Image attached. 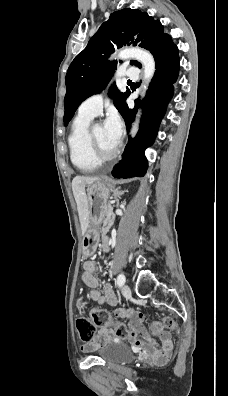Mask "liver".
<instances>
[{
  "label": "liver",
  "mask_w": 228,
  "mask_h": 396,
  "mask_svg": "<svg viewBox=\"0 0 228 396\" xmlns=\"http://www.w3.org/2000/svg\"><path fill=\"white\" fill-rule=\"evenodd\" d=\"M95 177L76 176L72 180L73 195L77 204L82 234L84 235L89 224L88 201L85 186L95 182Z\"/></svg>",
  "instance_id": "obj_1"
}]
</instances>
